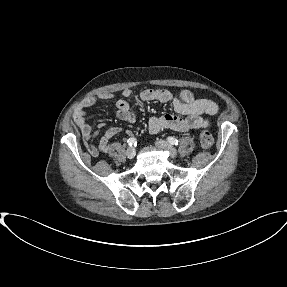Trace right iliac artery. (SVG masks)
I'll return each instance as SVG.
<instances>
[{
	"mask_svg": "<svg viewBox=\"0 0 287 287\" xmlns=\"http://www.w3.org/2000/svg\"><path fill=\"white\" fill-rule=\"evenodd\" d=\"M127 143H128L129 146H132V145L135 146L137 144L136 138H134V137L129 138L127 140Z\"/></svg>",
	"mask_w": 287,
	"mask_h": 287,
	"instance_id": "obj_1",
	"label": "right iliac artery"
}]
</instances>
